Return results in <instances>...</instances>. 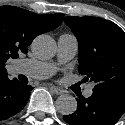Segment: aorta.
<instances>
[{
  "instance_id": "aorta-1",
  "label": "aorta",
  "mask_w": 125,
  "mask_h": 125,
  "mask_svg": "<svg viewBox=\"0 0 125 125\" xmlns=\"http://www.w3.org/2000/svg\"><path fill=\"white\" fill-rule=\"evenodd\" d=\"M31 49L39 59H50L56 53V43L52 37L40 35L32 42ZM55 103L57 111L62 115H70L77 109L75 97L69 94L60 95Z\"/></svg>"
}]
</instances>
